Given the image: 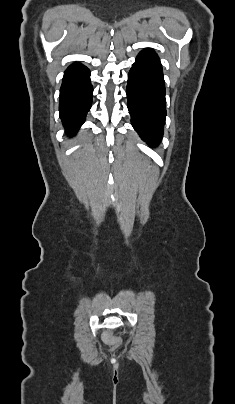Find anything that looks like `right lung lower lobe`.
Listing matches in <instances>:
<instances>
[{
	"instance_id": "1",
	"label": "right lung lower lobe",
	"mask_w": 235,
	"mask_h": 404,
	"mask_svg": "<svg viewBox=\"0 0 235 404\" xmlns=\"http://www.w3.org/2000/svg\"><path fill=\"white\" fill-rule=\"evenodd\" d=\"M92 92L89 69L82 64L70 65L64 73L59 103L60 118L69 135H74L84 123Z\"/></svg>"
}]
</instances>
